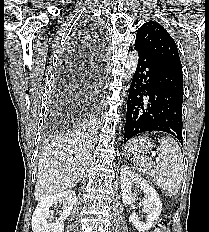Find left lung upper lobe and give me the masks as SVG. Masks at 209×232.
<instances>
[{"label": "left lung upper lobe", "mask_w": 209, "mask_h": 232, "mask_svg": "<svg viewBox=\"0 0 209 232\" xmlns=\"http://www.w3.org/2000/svg\"><path fill=\"white\" fill-rule=\"evenodd\" d=\"M135 45L165 66L182 71L177 46L166 29L156 21L143 24L137 31Z\"/></svg>", "instance_id": "1"}]
</instances>
